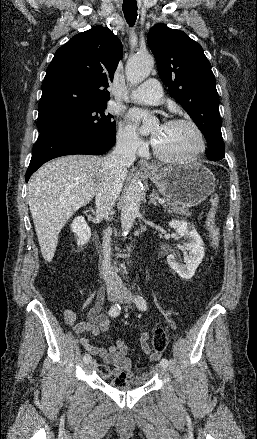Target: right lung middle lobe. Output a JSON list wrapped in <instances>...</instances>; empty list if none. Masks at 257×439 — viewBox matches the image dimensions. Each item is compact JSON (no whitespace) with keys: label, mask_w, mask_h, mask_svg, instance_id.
<instances>
[{"label":"right lung middle lobe","mask_w":257,"mask_h":439,"mask_svg":"<svg viewBox=\"0 0 257 439\" xmlns=\"http://www.w3.org/2000/svg\"><path fill=\"white\" fill-rule=\"evenodd\" d=\"M106 108V104H100L38 119L37 127L39 132L61 126L77 127L115 137L116 123L111 114L104 113Z\"/></svg>","instance_id":"1"}]
</instances>
